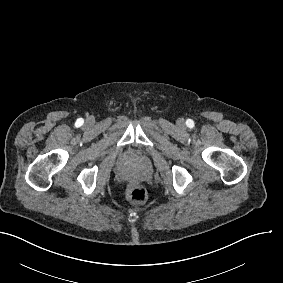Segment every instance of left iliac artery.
<instances>
[{
	"mask_svg": "<svg viewBox=\"0 0 283 283\" xmlns=\"http://www.w3.org/2000/svg\"><path fill=\"white\" fill-rule=\"evenodd\" d=\"M186 124H187L189 127H191V126L193 125V121L189 120V121L186 122Z\"/></svg>",
	"mask_w": 283,
	"mask_h": 283,
	"instance_id": "1",
	"label": "left iliac artery"
}]
</instances>
